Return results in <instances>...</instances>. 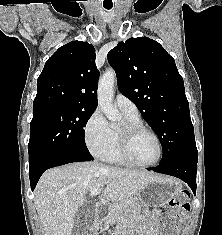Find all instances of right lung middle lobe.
Instances as JSON below:
<instances>
[{
	"label": "right lung middle lobe",
	"mask_w": 222,
	"mask_h": 235,
	"mask_svg": "<svg viewBox=\"0 0 222 235\" xmlns=\"http://www.w3.org/2000/svg\"><path fill=\"white\" fill-rule=\"evenodd\" d=\"M95 110L54 105L33 113L28 144L29 168L58 155L90 157L84 127Z\"/></svg>",
	"instance_id": "obj_1"
}]
</instances>
